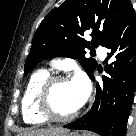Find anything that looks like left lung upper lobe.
Returning <instances> with one entry per match:
<instances>
[{"instance_id": "5c2ea615", "label": "left lung upper lobe", "mask_w": 136, "mask_h": 136, "mask_svg": "<svg viewBox=\"0 0 136 136\" xmlns=\"http://www.w3.org/2000/svg\"><path fill=\"white\" fill-rule=\"evenodd\" d=\"M132 8L129 0H66L51 10L38 27L25 63L29 73L40 61L51 57L79 59L90 76L95 60L85 58V48L104 46ZM92 36L91 43L83 38Z\"/></svg>"}]
</instances>
